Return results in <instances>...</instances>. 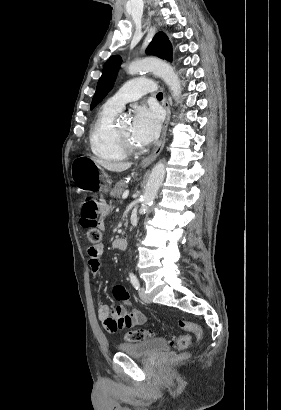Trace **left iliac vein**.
I'll use <instances>...</instances> for the list:
<instances>
[{
    "label": "left iliac vein",
    "instance_id": "left-iliac-vein-1",
    "mask_svg": "<svg viewBox=\"0 0 281 410\" xmlns=\"http://www.w3.org/2000/svg\"><path fill=\"white\" fill-rule=\"evenodd\" d=\"M139 296H140V298H141V300H142L143 302H145V303H150V302H151V299H150V297L146 294L144 288H141V289H140V291H139Z\"/></svg>",
    "mask_w": 281,
    "mask_h": 410
}]
</instances>
